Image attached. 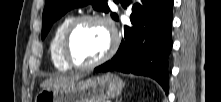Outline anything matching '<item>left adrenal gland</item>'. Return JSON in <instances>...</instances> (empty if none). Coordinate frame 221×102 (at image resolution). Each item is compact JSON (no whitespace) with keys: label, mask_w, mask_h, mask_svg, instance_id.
<instances>
[{"label":"left adrenal gland","mask_w":221,"mask_h":102,"mask_svg":"<svg viewBox=\"0 0 221 102\" xmlns=\"http://www.w3.org/2000/svg\"><path fill=\"white\" fill-rule=\"evenodd\" d=\"M122 100H116V102H121Z\"/></svg>","instance_id":"left-adrenal-gland-1"}]
</instances>
